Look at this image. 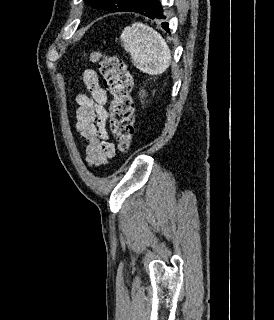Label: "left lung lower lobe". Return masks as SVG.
Listing matches in <instances>:
<instances>
[{"instance_id": "0a47b994", "label": "left lung lower lobe", "mask_w": 274, "mask_h": 320, "mask_svg": "<svg viewBox=\"0 0 274 320\" xmlns=\"http://www.w3.org/2000/svg\"><path fill=\"white\" fill-rule=\"evenodd\" d=\"M125 11L140 13L150 19H165L159 0H135L133 4L121 12ZM161 25L162 28L169 31L167 22H162Z\"/></svg>"}]
</instances>
